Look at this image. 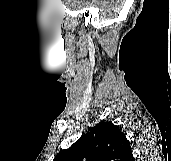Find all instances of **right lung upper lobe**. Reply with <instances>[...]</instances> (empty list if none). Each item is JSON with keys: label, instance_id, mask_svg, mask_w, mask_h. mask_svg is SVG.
<instances>
[{"label": "right lung upper lobe", "instance_id": "cb5924a9", "mask_svg": "<svg viewBox=\"0 0 171 161\" xmlns=\"http://www.w3.org/2000/svg\"><path fill=\"white\" fill-rule=\"evenodd\" d=\"M53 161H135L131 146L120 128L102 121Z\"/></svg>", "mask_w": 171, "mask_h": 161}]
</instances>
